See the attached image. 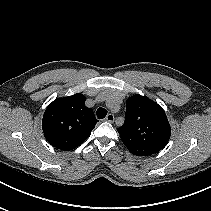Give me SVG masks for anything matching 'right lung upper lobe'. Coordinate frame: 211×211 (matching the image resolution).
Returning <instances> with one entry per match:
<instances>
[{"instance_id":"1","label":"right lung upper lobe","mask_w":211,"mask_h":211,"mask_svg":"<svg viewBox=\"0 0 211 211\" xmlns=\"http://www.w3.org/2000/svg\"><path fill=\"white\" fill-rule=\"evenodd\" d=\"M81 93L54 100L45 110L42 129L46 140L55 148L70 151L81 145L96 123L91 108L85 106Z\"/></svg>"}]
</instances>
